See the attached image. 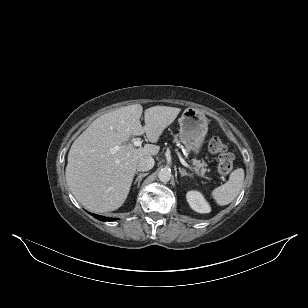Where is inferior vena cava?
Here are the masks:
<instances>
[{"label":"inferior vena cava","mask_w":308,"mask_h":308,"mask_svg":"<svg viewBox=\"0 0 308 308\" xmlns=\"http://www.w3.org/2000/svg\"><path fill=\"white\" fill-rule=\"evenodd\" d=\"M154 159L151 156L142 157L137 165L138 171H148L154 167Z\"/></svg>","instance_id":"obj_1"}]
</instances>
